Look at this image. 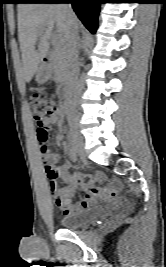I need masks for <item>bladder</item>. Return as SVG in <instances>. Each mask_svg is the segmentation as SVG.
I'll list each match as a JSON object with an SVG mask.
<instances>
[{"instance_id": "bladder-1", "label": "bladder", "mask_w": 166, "mask_h": 267, "mask_svg": "<svg viewBox=\"0 0 166 267\" xmlns=\"http://www.w3.org/2000/svg\"><path fill=\"white\" fill-rule=\"evenodd\" d=\"M98 216L99 211L97 208L81 210L73 214L64 215L60 219V224L64 229H76L90 223Z\"/></svg>"}]
</instances>
